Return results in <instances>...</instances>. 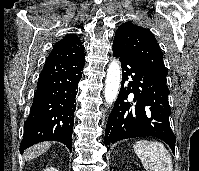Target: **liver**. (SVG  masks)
Instances as JSON below:
<instances>
[{
	"label": "liver",
	"instance_id": "6515ba94",
	"mask_svg": "<svg viewBox=\"0 0 199 171\" xmlns=\"http://www.w3.org/2000/svg\"><path fill=\"white\" fill-rule=\"evenodd\" d=\"M50 147H51V142L39 143L27 149L24 152V158L25 160H32L38 157L39 155L43 154L44 152H46V150H48Z\"/></svg>",
	"mask_w": 199,
	"mask_h": 171
}]
</instances>
